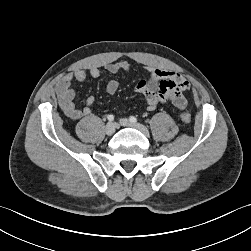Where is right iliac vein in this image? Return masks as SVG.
<instances>
[{"label":"right iliac vein","mask_w":251,"mask_h":251,"mask_svg":"<svg viewBox=\"0 0 251 251\" xmlns=\"http://www.w3.org/2000/svg\"><path fill=\"white\" fill-rule=\"evenodd\" d=\"M114 132H115V124L112 122L107 123L105 127V133L110 136L114 134Z\"/></svg>","instance_id":"right-iliac-vein-1"}]
</instances>
